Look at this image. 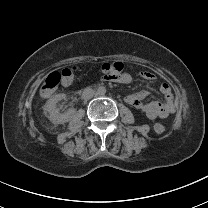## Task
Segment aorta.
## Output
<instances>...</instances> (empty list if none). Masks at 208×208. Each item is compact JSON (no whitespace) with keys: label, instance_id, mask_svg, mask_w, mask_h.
<instances>
[{"label":"aorta","instance_id":"obj_1","mask_svg":"<svg viewBox=\"0 0 208 208\" xmlns=\"http://www.w3.org/2000/svg\"><path fill=\"white\" fill-rule=\"evenodd\" d=\"M107 92H108V89H107V87L104 86V85L99 86V87L97 88V90H96V93H97V95H99V96H104V95L107 94Z\"/></svg>","mask_w":208,"mask_h":208}]
</instances>
